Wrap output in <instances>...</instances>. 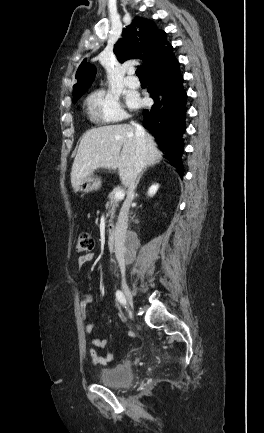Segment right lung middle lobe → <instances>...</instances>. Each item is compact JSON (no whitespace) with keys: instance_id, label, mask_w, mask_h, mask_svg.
<instances>
[{"instance_id":"1","label":"right lung middle lobe","mask_w":264,"mask_h":433,"mask_svg":"<svg viewBox=\"0 0 264 433\" xmlns=\"http://www.w3.org/2000/svg\"><path fill=\"white\" fill-rule=\"evenodd\" d=\"M78 99H79V98H77V99H74V100H73V103H76Z\"/></svg>"}]
</instances>
